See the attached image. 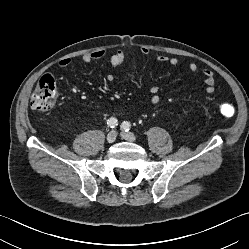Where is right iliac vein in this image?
Segmentation results:
<instances>
[{
    "instance_id": "obj_1",
    "label": "right iliac vein",
    "mask_w": 249,
    "mask_h": 249,
    "mask_svg": "<svg viewBox=\"0 0 249 249\" xmlns=\"http://www.w3.org/2000/svg\"><path fill=\"white\" fill-rule=\"evenodd\" d=\"M116 137H117V132L115 130L110 131L106 137L107 142L113 143L116 140Z\"/></svg>"
}]
</instances>
